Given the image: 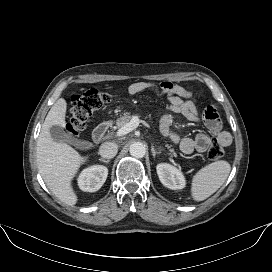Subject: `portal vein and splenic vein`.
<instances>
[{"label":"portal vein and splenic vein","mask_w":272,"mask_h":272,"mask_svg":"<svg viewBox=\"0 0 272 272\" xmlns=\"http://www.w3.org/2000/svg\"><path fill=\"white\" fill-rule=\"evenodd\" d=\"M138 125H139V120L136 117H134L130 120L129 123H127L123 127H121L116 132L115 136L116 137L124 136V135L128 134L129 132H131L132 130H134Z\"/></svg>","instance_id":"portal-vein-and-splenic-vein-1"}]
</instances>
